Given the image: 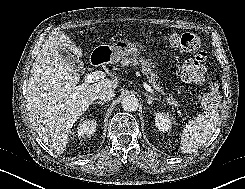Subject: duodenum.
I'll list each match as a JSON object with an SVG mask.
<instances>
[{
    "instance_id": "duodenum-1",
    "label": "duodenum",
    "mask_w": 245,
    "mask_h": 189,
    "mask_svg": "<svg viewBox=\"0 0 245 189\" xmlns=\"http://www.w3.org/2000/svg\"><path fill=\"white\" fill-rule=\"evenodd\" d=\"M110 57H111V52L109 51L96 52L91 55L90 61L93 65H99L105 60L110 59Z\"/></svg>"
}]
</instances>
